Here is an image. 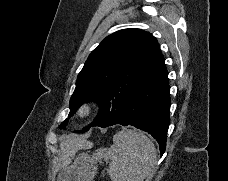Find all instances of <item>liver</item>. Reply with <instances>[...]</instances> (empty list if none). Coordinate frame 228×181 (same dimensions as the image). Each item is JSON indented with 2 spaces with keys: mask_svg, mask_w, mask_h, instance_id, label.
<instances>
[{
  "mask_svg": "<svg viewBox=\"0 0 228 181\" xmlns=\"http://www.w3.org/2000/svg\"><path fill=\"white\" fill-rule=\"evenodd\" d=\"M64 141L60 143V149L63 153L64 161H71L75 151L78 149H91L93 143L84 139V137H79V135H66L63 137ZM57 163V161H55Z\"/></svg>",
  "mask_w": 228,
  "mask_h": 181,
  "instance_id": "liver-1",
  "label": "liver"
}]
</instances>
